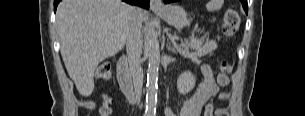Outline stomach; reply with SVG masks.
Segmentation results:
<instances>
[{
  "instance_id": "obj_1",
  "label": "stomach",
  "mask_w": 305,
  "mask_h": 116,
  "mask_svg": "<svg viewBox=\"0 0 305 116\" xmlns=\"http://www.w3.org/2000/svg\"><path fill=\"white\" fill-rule=\"evenodd\" d=\"M168 24L181 28L190 23L189 15L179 5H167L162 9L155 10Z\"/></svg>"
}]
</instances>
